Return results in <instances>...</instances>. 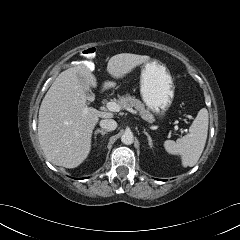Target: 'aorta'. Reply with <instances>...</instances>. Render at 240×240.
Returning <instances> with one entry per match:
<instances>
[{"label":"aorta","mask_w":240,"mask_h":240,"mask_svg":"<svg viewBox=\"0 0 240 240\" xmlns=\"http://www.w3.org/2000/svg\"><path fill=\"white\" fill-rule=\"evenodd\" d=\"M121 142L125 145H130L134 142V136L132 132H125L121 136Z\"/></svg>","instance_id":"aorta-1"}]
</instances>
